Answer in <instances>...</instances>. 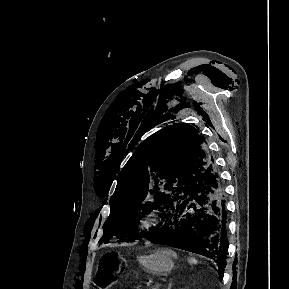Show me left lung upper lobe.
I'll return each mask as SVG.
<instances>
[{"label":"left lung upper lobe","instance_id":"left-lung-upper-lobe-1","mask_svg":"<svg viewBox=\"0 0 289 289\" xmlns=\"http://www.w3.org/2000/svg\"><path fill=\"white\" fill-rule=\"evenodd\" d=\"M212 160L205 139L190 125L175 124L150 136L118 176L101 241L131 242L144 237L137 232L138 221L154 206H160L166 218L174 197L198 179Z\"/></svg>","mask_w":289,"mask_h":289}]
</instances>
